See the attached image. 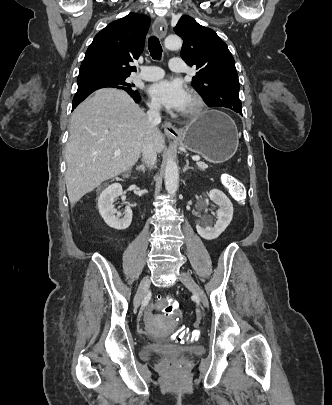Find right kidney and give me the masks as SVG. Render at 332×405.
I'll use <instances>...</instances> for the list:
<instances>
[{
    "instance_id": "obj_1",
    "label": "right kidney",
    "mask_w": 332,
    "mask_h": 405,
    "mask_svg": "<svg viewBox=\"0 0 332 405\" xmlns=\"http://www.w3.org/2000/svg\"><path fill=\"white\" fill-rule=\"evenodd\" d=\"M121 196L122 201L126 197L123 194L122 186L113 183L103 190L98 199V210L105 223L116 230L127 229L132 222V210L126 206L124 212H117L114 208L115 199Z\"/></svg>"
}]
</instances>
